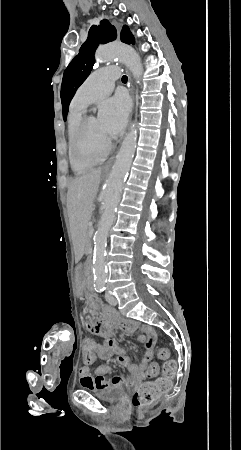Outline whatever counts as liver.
Masks as SVG:
<instances>
[{
    "label": "liver",
    "mask_w": 241,
    "mask_h": 450,
    "mask_svg": "<svg viewBox=\"0 0 241 450\" xmlns=\"http://www.w3.org/2000/svg\"><path fill=\"white\" fill-rule=\"evenodd\" d=\"M102 168L72 180L68 188L67 206L72 226L87 224L94 210V200L101 182Z\"/></svg>",
    "instance_id": "liver-1"
}]
</instances>
